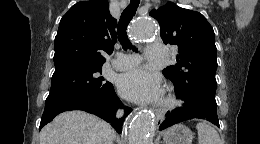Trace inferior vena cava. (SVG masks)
<instances>
[{
  "label": "inferior vena cava",
  "instance_id": "602c4592",
  "mask_svg": "<svg viewBox=\"0 0 260 144\" xmlns=\"http://www.w3.org/2000/svg\"><path fill=\"white\" fill-rule=\"evenodd\" d=\"M122 115H123V111L120 110V111L117 112V115H116V116H117V117H121Z\"/></svg>",
  "mask_w": 260,
  "mask_h": 144
}]
</instances>
